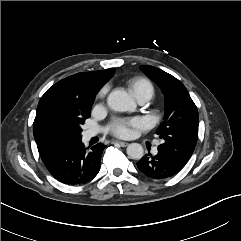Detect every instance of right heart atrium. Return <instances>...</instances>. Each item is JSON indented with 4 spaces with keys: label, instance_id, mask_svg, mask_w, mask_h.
Segmentation results:
<instances>
[{
    "label": "right heart atrium",
    "instance_id": "right-heart-atrium-1",
    "mask_svg": "<svg viewBox=\"0 0 241 241\" xmlns=\"http://www.w3.org/2000/svg\"><path fill=\"white\" fill-rule=\"evenodd\" d=\"M106 91H107L106 88L102 89V90L99 92L98 97H99V98H102V97L106 94Z\"/></svg>",
    "mask_w": 241,
    "mask_h": 241
}]
</instances>
